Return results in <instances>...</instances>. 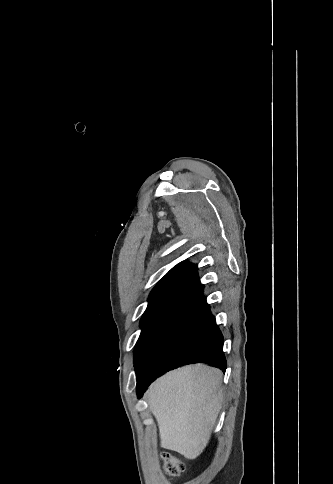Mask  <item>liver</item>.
Segmentation results:
<instances>
[{"instance_id": "1", "label": "liver", "mask_w": 333, "mask_h": 484, "mask_svg": "<svg viewBox=\"0 0 333 484\" xmlns=\"http://www.w3.org/2000/svg\"><path fill=\"white\" fill-rule=\"evenodd\" d=\"M222 372L202 364L182 367L156 380L147 392L160 444L187 459L207 446L221 409Z\"/></svg>"}]
</instances>
